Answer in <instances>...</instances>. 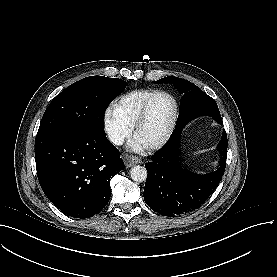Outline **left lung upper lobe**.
<instances>
[{
  "label": "left lung upper lobe",
  "instance_id": "left-lung-upper-lobe-1",
  "mask_svg": "<svg viewBox=\"0 0 277 277\" xmlns=\"http://www.w3.org/2000/svg\"><path fill=\"white\" fill-rule=\"evenodd\" d=\"M154 82L174 83L178 91L183 94L176 126L169 139L179 135L187 123L199 116H212L218 123L222 124L221 115L215 100L200 88L194 86L190 81L175 76H168Z\"/></svg>",
  "mask_w": 277,
  "mask_h": 277
}]
</instances>
